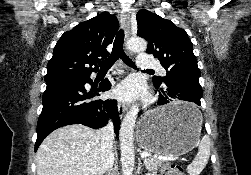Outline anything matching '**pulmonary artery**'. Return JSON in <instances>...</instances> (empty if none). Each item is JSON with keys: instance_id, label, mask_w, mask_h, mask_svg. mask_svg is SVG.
I'll return each instance as SVG.
<instances>
[{"instance_id": "obj_1", "label": "pulmonary artery", "mask_w": 251, "mask_h": 175, "mask_svg": "<svg viewBox=\"0 0 251 175\" xmlns=\"http://www.w3.org/2000/svg\"><path fill=\"white\" fill-rule=\"evenodd\" d=\"M148 52H139L138 62L136 67H147L148 70H157V75H160V79H167V74H162V65L158 62L157 58H150ZM116 74L123 73V70H116Z\"/></svg>"}]
</instances>
